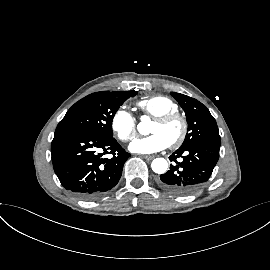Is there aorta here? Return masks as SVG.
I'll list each match as a JSON object with an SVG mask.
<instances>
[{
  "mask_svg": "<svg viewBox=\"0 0 270 270\" xmlns=\"http://www.w3.org/2000/svg\"><path fill=\"white\" fill-rule=\"evenodd\" d=\"M149 118L148 117H142L141 122L138 124V131L142 135H147L149 132ZM152 170L157 174H163L167 171L168 168V162L164 158H156L152 161L151 164Z\"/></svg>",
  "mask_w": 270,
  "mask_h": 270,
  "instance_id": "762f6f07",
  "label": "aorta"
}]
</instances>
